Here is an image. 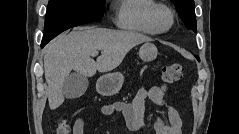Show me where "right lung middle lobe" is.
Wrapping results in <instances>:
<instances>
[{
	"mask_svg": "<svg viewBox=\"0 0 239 134\" xmlns=\"http://www.w3.org/2000/svg\"><path fill=\"white\" fill-rule=\"evenodd\" d=\"M105 0H49L43 38H54L64 30L101 20Z\"/></svg>",
	"mask_w": 239,
	"mask_h": 134,
	"instance_id": "dd1d6c3e",
	"label": "right lung middle lobe"
}]
</instances>
